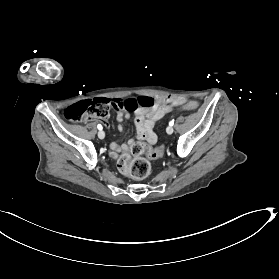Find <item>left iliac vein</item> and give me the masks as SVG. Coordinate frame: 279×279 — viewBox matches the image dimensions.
<instances>
[{
    "mask_svg": "<svg viewBox=\"0 0 279 279\" xmlns=\"http://www.w3.org/2000/svg\"><path fill=\"white\" fill-rule=\"evenodd\" d=\"M173 131H174V129H173L172 126H168V127L166 128V132H167L168 134H172Z\"/></svg>",
    "mask_w": 279,
    "mask_h": 279,
    "instance_id": "1",
    "label": "left iliac vein"
}]
</instances>
